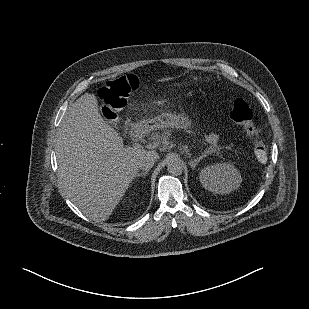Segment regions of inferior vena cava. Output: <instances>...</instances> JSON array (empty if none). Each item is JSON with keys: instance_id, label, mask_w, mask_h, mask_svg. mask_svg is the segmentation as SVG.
Returning a JSON list of instances; mask_svg holds the SVG:
<instances>
[{"instance_id": "inferior-vena-cava-1", "label": "inferior vena cava", "mask_w": 309, "mask_h": 309, "mask_svg": "<svg viewBox=\"0 0 309 309\" xmlns=\"http://www.w3.org/2000/svg\"><path fill=\"white\" fill-rule=\"evenodd\" d=\"M155 163V159L152 157L145 158L143 161H141L139 168L145 171H149Z\"/></svg>"}]
</instances>
